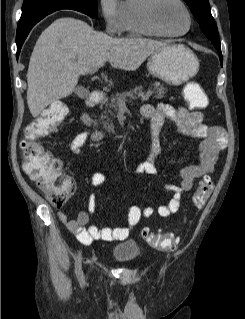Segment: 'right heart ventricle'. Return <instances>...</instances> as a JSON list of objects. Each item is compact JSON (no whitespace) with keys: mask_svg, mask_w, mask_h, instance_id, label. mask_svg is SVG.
I'll use <instances>...</instances> for the list:
<instances>
[{"mask_svg":"<svg viewBox=\"0 0 245 319\" xmlns=\"http://www.w3.org/2000/svg\"><path fill=\"white\" fill-rule=\"evenodd\" d=\"M146 0H124L122 2L123 32L129 35L159 36L149 28L143 18V7Z\"/></svg>","mask_w":245,"mask_h":319,"instance_id":"e07e8e85","label":"right heart ventricle"}]
</instances>
